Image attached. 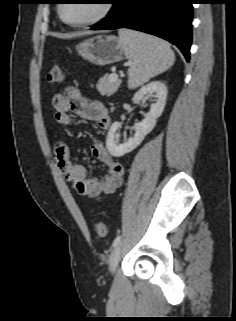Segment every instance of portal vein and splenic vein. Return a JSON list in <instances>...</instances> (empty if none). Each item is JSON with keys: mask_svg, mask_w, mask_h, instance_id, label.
Returning <instances> with one entry per match:
<instances>
[{"mask_svg": "<svg viewBox=\"0 0 236 321\" xmlns=\"http://www.w3.org/2000/svg\"><path fill=\"white\" fill-rule=\"evenodd\" d=\"M116 78H118V75H116V74H112V75L110 76V80H114V79H116Z\"/></svg>", "mask_w": 236, "mask_h": 321, "instance_id": "1", "label": "portal vein and splenic vein"}]
</instances>
